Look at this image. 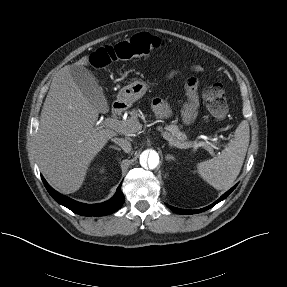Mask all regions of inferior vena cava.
<instances>
[{
    "label": "inferior vena cava",
    "mask_w": 287,
    "mask_h": 287,
    "mask_svg": "<svg viewBox=\"0 0 287 287\" xmlns=\"http://www.w3.org/2000/svg\"><path fill=\"white\" fill-rule=\"evenodd\" d=\"M112 141L119 145L126 153L131 151V143L128 140L123 138H113Z\"/></svg>",
    "instance_id": "obj_1"
}]
</instances>
